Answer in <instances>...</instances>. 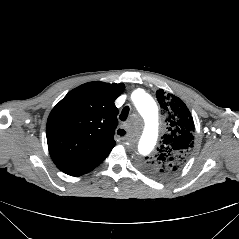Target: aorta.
I'll return each mask as SVG.
<instances>
[{
  "label": "aorta",
  "mask_w": 239,
  "mask_h": 239,
  "mask_svg": "<svg viewBox=\"0 0 239 239\" xmlns=\"http://www.w3.org/2000/svg\"><path fill=\"white\" fill-rule=\"evenodd\" d=\"M132 101L141 117L146 122V131L137 143V150L141 156L148 155L154 147L158 132V108L154 99L143 90H136L132 94Z\"/></svg>",
  "instance_id": "762f6f07"
}]
</instances>
